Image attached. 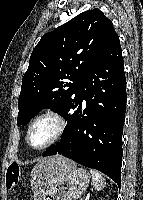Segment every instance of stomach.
<instances>
[{
  "instance_id": "obj_1",
  "label": "stomach",
  "mask_w": 143,
  "mask_h": 200,
  "mask_svg": "<svg viewBox=\"0 0 143 200\" xmlns=\"http://www.w3.org/2000/svg\"><path fill=\"white\" fill-rule=\"evenodd\" d=\"M89 182L90 176L85 169L68 164L51 176L42 200H77Z\"/></svg>"
}]
</instances>
